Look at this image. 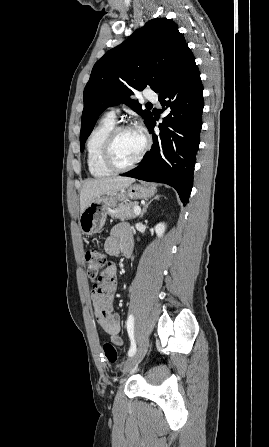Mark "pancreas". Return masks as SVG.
<instances>
[{"instance_id":"1","label":"pancreas","mask_w":269,"mask_h":447,"mask_svg":"<svg viewBox=\"0 0 269 447\" xmlns=\"http://www.w3.org/2000/svg\"><path fill=\"white\" fill-rule=\"evenodd\" d=\"M134 206H137V202H129V204L115 208V214H112V212H108V214L111 218H118V220H132V218H136Z\"/></svg>"}]
</instances>
